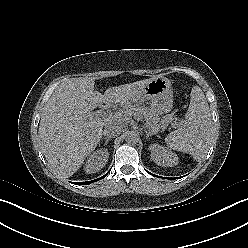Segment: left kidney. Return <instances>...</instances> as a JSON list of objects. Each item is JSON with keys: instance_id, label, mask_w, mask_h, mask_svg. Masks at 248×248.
Returning <instances> with one entry per match:
<instances>
[{"instance_id": "5707ae66", "label": "left kidney", "mask_w": 248, "mask_h": 248, "mask_svg": "<svg viewBox=\"0 0 248 248\" xmlns=\"http://www.w3.org/2000/svg\"><path fill=\"white\" fill-rule=\"evenodd\" d=\"M151 152V159L160 166L173 167L179 162L178 157L175 153L169 149L164 148L159 144H151L149 146Z\"/></svg>"}]
</instances>
